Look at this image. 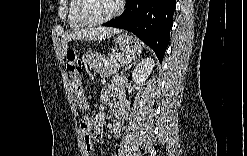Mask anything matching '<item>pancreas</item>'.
I'll list each match as a JSON object with an SVG mask.
<instances>
[{
  "instance_id": "1",
  "label": "pancreas",
  "mask_w": 247,
  "mask_h": 156,
  "mask_svg": "<svg viewBox=\"0 0 247 156\" xmlns=\"http://www.w3.org/2000/svg\"><path fill=\"white\" fill-rule=\"evenodd\" d=\"M130 58L128 54L112 52L108 57L103 59V65L98 71L100 76L102 78H108L114 75Z\"/></svg>"
}]
</instances>
